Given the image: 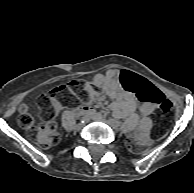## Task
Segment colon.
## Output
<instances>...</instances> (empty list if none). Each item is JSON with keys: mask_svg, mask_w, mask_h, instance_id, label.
I'll list each match as a JSON object with an SVG mask.
<instances>
[{"mask_svg": "<svg viewBox=\"0 0 194 193\" xmlns=\"http://www.w3.org/2000/svg\"><path fill=\"white\" fill-rule=\"evenodd\" d=\"M119 81L125 89L135 93L140 102L157 104L159 105L160 110L165 114L171 112L172 103L161 93L156 92L153 86L146 79L123 70L119 73ZM65 89L79 92L82 95H87L89 91V83L79 80L68 82L58 86L54 90V95H57ZM59 105H61V101L56 98L54 106L57 107ZM17 122L26 132L28 138L35 141L43 148H51L61 139V134L54 123L46 122L37 124L35 118L30 112L29 106L25 104L20 105L18 108ZM128 148L132 151H138L139 144L137 140L129 138Z\"/></svg>", "mask_w": 194, "mask_h": 193, "instance_id": "obj_1", "label": "colon"}]
</instances>
